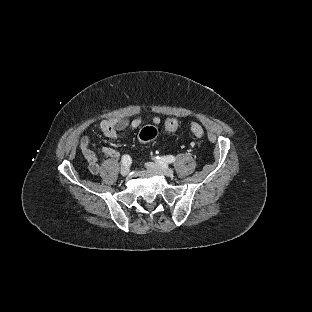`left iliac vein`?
Listing matches in <instances>:
<instances>
[{
  "mask_svg": "<svg viewBox=\"0 0 312 312\" xmlns=\"http://www.w3.org/2000/svg\"><path fill=\"white\" fill-rule=\"evenodd\" d=\"M146 166L148 169H150L151 171H153L159 175H164V176L170 177L174 173L173 169L166 167L164 165H160V164H156V163H152V162L146 163Z\"/></svg>",
  "mask_w": 312,
  "mask_h": 312,
  "instance_id": "4c4485c4",
  "label": "left iliac vein"
}]
</instances>
